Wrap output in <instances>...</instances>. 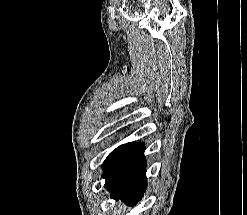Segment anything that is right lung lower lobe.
<instances>
[{
    "mask_svg": "<svg viewBox=\"0 0 247 215\" xmlns=\"http://www.w3.org/2000/svg\"><path fill=\"white\" fill-rule=\"evenodd\" d=\"M144 144L127 143L111 152L103 164L105 187L111 198L128 205L138 202L146 189Z\"/></svg>",
    "mask_w": 247,
    "mask_h": 215,
    "instance_id": "1",
    "label": "right lung lower lobe"
}]
</instances>
